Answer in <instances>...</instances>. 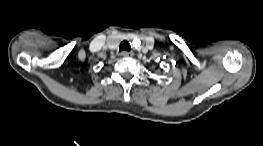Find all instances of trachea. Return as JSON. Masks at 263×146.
<instances>
[{
  "label": "trachea",
  "instance_id": "1",
  "mask_svg": "<svg viewBox=\"0 0 263 146\" xmlns=\"http://www.w3.org/2000/svg\"><path fill=\"white\" fill-rule=\"evenodd\" d=\"M120 51H130L131 45L128 41H122L119 46Z\"/></svg>",
  "mask_w": 263,
  "mask_h": 146
}]
</instances>
